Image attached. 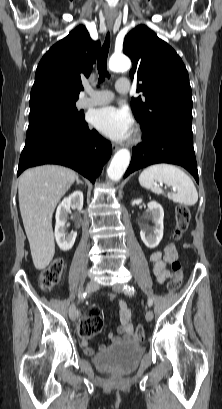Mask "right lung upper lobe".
<instances>
[{
	"instance_id": "obj_1",
	"label": "right lung upper lobe",
	"mask_w": 222,
	"mask_h": 409,
	"mask_svg": "<svg viewBox=\"0 0 222 409\" xmlns=\"http://www.w3.org/2000/svg\"><path fill=\"white\" fill-rule=\"evenodd\" d=\"M100 48L80 25L53 45L42 57L31 90L30 108L50 102H73L83 90Z\"/></svg>"
}]
</instances>
